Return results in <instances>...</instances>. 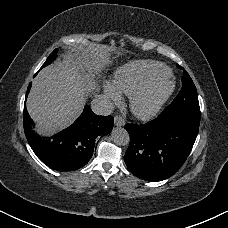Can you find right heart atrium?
Masks as SVG:
<instances>
[{"instance_id": "d8ad5b80", "label": "right heart atrium", "mask_w": 228, "mask_h": 228, "mask_svg": "<svg viewBox=\"0 0 228 228\" xmlns=\"http://www.w3.org/2000/svg\"><path fill=\"white\" fill-rule=\"evenodd\" d=\"M104 92L105 95L114 102L119 103L121 101V95L117 88H115L114 86L106 84L104 87Z\"/></svg>"}]
</instances>
